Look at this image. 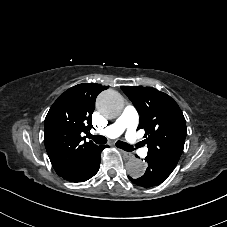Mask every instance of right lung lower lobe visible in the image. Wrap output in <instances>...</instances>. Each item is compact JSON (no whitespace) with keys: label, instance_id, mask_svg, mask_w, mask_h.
<instances>
[{"label":"right lung lower lobe","instance_id":"right-lung-lower-lobe-1","mask_svg":"<svg viewBox=\"0 0 227 227\" xmlns=\"http://www.w3.org/2000/svg\"><path fill=\"white\" fill-rule=\"evenodd\" d=\"M108 146H96L89 150L81 162L71 171L60 174L64 179L71 182H84L93 177L99 170L101 161V151Z\"/></svg>","mask_w":227,"mask_h":227}]
</instances>
